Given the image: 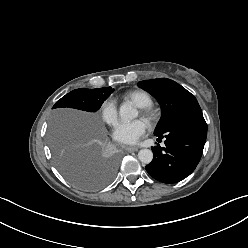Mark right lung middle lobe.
Wrapping results in <instances>:
<instances>
[{
  "label": "right lung middle lobe",
  "mask_w": 248,
  "mask_h": 248,
  "mask_svg": "<svg viewBox=\"0 0 248 248\" xmlns=\"http://www.w3.org/2000/svg\"><path fill=\"white\" fill-rule=\"evenodd\" d=\"M114 91L111 87L76 89L58 100L53 108L69 107L96 112ZM91 120L77 122L71 129H53L50 147L55 164L61 174L78 188L93 191L106 186L114 177L117 163L114 157H101L95 153L96 137L91 134Z\"/></svg>",
  "instance_id": "obj_1"
}]
</instances>
